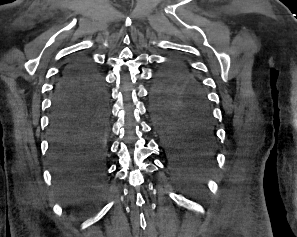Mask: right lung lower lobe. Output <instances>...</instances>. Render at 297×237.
Listing matches in <instances>:
<instances>
[{
	"mask_svg": "<svg viewBox=\"0 0 297 237\" xmlns=\"http://www.w3.org/2000/svg\"><path fill=\"white\" fill-rule=\"evenodd\" d=\"M50 158L58 173L103 174L108 102L99 73L84 59L64 70L55 86Z\"/></svg>",
	"mask_w": 297,
	"mask_h": 237,
	"instance_id": "obj_1",
	"label": "right lung lower lobe"
}]
</instances>
